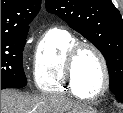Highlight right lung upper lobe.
I'll return each mask as SVG.
<instances>
[{
	"instance_id": "right-lung-upper-lobe-1",
	"label": "right lung upper lobe",
	"mask_w": 123,
	"mask_h": 113,
	"mask_svg": "<svg viewBox=\"0 0 123 113\" xmlns=\"http://www.w3.org/2000/svg\"><path fill=\"white\" fill-rule=\"evenodd\" d=\"M41 0H1V38L27 35Z\"/></svg>"
}]
</instances>
